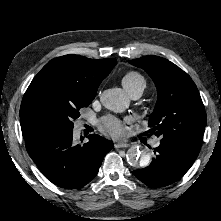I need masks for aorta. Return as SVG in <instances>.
Listing matches in <instances>:
<instances>
[{
  "mask_svg": "<svg viewBox=\"0 0 221 221\" xmlns=\"http://www.w3.org/2000/svg\"><path fill=\"white\" fill-rule=\"evenodd\" d=\"M103 106L113 112H123L129 106V99L120 88L105 90L100 97ZM127 162L134 168H143L150 164L151 154L148 149L132 146L126 153Z\"/></svg>",
  "mask_w": 221,
  "mask_h": 221,
  "instance_id": "aorta-1",
  "label": "aorta"
}]
</instances>
